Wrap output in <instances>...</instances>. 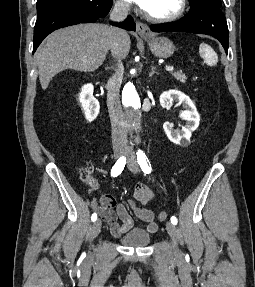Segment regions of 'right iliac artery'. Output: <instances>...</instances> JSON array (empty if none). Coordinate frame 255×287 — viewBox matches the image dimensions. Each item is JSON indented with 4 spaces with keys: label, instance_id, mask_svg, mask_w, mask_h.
<instances>
[{
    "label": "right iliac artery",
    "instance_id": "82829eb1",
    "mask_svg": "<svg viewBox=\"0 0 255 287\" xmlns=\"http://www.w3.org/2000/svg\"><path fill=\"white\" fill-rule=\"evenodd\" d=\"M125 164H126V158L124 156L120 157L111 169V176L117 177L123 171ZM96 219L97 214L96 213L92 214L91 220L94 222L96 221Z\"/></svg>",
    "mask_w": 255,
    "mask_h": 287
}]
</instances>
